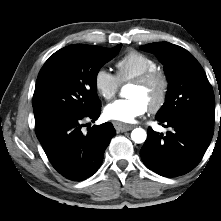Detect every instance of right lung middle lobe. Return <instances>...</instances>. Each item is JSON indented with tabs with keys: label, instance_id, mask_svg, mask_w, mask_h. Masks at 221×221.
Returning <instances> with one entry per match:
<instances>
[{
	"label": "right lung middle lobe",
	"instance_id": "dd1d6c3e",
	"mask_svg": "<svg viewBox=\"0 0 221 221\" xmlns=\"http://www.w3.org/2000/svg\"><path fill=\"white\" fill-rule=\"evenodd\" d=\"M121 46L75 44L49 57L38 74L33 95L37 136L58 120L85 115L101 104L96 93L97 73Z\"/></svg>",
	"mask_w": 221,
	"mask_h": 221
}]
</instances>
